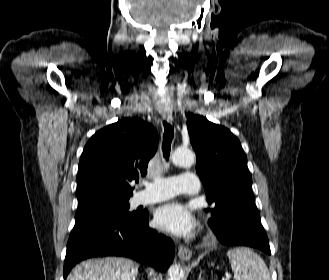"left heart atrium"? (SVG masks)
Masks as SVG:
<instances>
[{"instance_id":"1","label":"left heart atrium","mask_w":329,"mask_h":280,"mask_svg":"<svg viewBox=\"0 0 329 280\" xmlns=\"http://www.w3.org/2000/svg\"><path fill=\"white\" fill-rule=\"evenodd\" d=\"M155 222L160 229L177 236H189L195 228L192 214L177 202L159 207L155 213Z\"/></svg>"}]
</instances>
